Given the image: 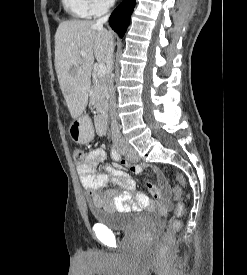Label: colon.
Masks as SVG:
<instances>
[{
  "mask_svg": "<svg viewBox=\"0 0 247 275\" xmlns=\"http://www.w3.org/2000/svg\"><path fill=\"white\" fill-rule=\"evenodd\" d=\"M74 160L76 163H81L84 160V152L81 149H77L74 152ZM178 181L182 186H185V180L182 176H177ZM174 198L177 200V206L175 214L177 218L172 219L169 222L168 228L161 239L162 249H167L173 242L174 236L178 233L182 227V222L179 219L184 214V204L181 201L182 189L180 187H175L173 189Z\"/></svg>",
  "mask_w": 247,
  "mask_h": 275,
  "instance_id": "1",
  "label": "colon"
}]
</instances>
